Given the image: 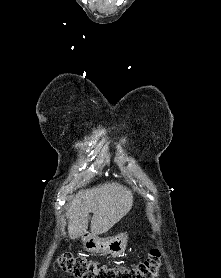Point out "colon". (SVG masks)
Returning a JSON list of instances; mask_svg holds the SVG:
<instances>
[{"instance_id": "colon-1", "label": "colon", "mask_w": 221, "mask_h": 278, "mask_svg": "<svg viewBox=\"0 0 221 278\" xmlns=\"http://www.w3.org/2000/svg\"><path fill=\"white\" fill-rule=\"evenodd\" d=\"M60 268L78 278H158L161 267L160 251L153 249L149 257L132 267H110L72 254H62Z\"/></svg>"}]
</instances>
